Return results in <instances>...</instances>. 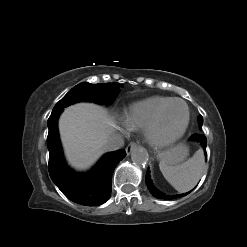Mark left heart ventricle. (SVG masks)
Segmentation results:
<instances>
[{"label":"left heart ventricle","instance_id":"1","mask_svg":"<svg viewBox=\"0 0 247 247\" xmlns=\"http://www.w3.org/2000/svg\"><path fill=\"white\" fill-rule=\"evenodd\" d=\"M185 119L186 108L184 104L175 102L164 112L159 123V132L163 135L174 134L182 127Z\"/></svg>","mask_w":247,"mask_h":247}]
</instances>
